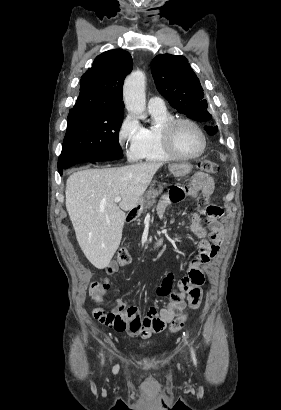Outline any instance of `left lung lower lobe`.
Here are the masks:
<instances>
[{"label": "left lung lower lobe", "instance_id": "left-lung-lower-lobe-1", "mask_svg": "<svg viewBox=\"0 0 281 410\" xmlns=\"http://www.w3.org/2000/svg\"><path fill=\"white\" fill-rule=\"evenodd\" d=\"M207 131H208V133H211L213 130H212V129H208Z\"/></svg>", "mask_w": 281, "mask_h": 410}]
</instances>
